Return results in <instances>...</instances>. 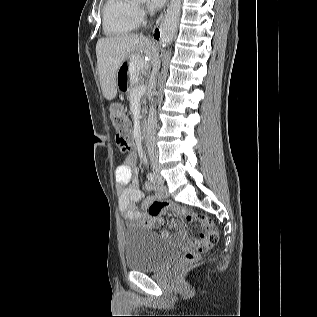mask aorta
<instances>
[{
  "instance_id": "1",
  "label": "aorta",
  "mask_w": 317,
  "mask_h": 317,
  "mask_svg": "<svg viewBox=\"0 0 317 317\" xmlns=\"http://www.w3.org/2000/svg\"><path fill=\"white\" fill-rule=\"evenodd\" d=\"M137 1H143V0H137ZM176 28V20L173 17H169L164 21V23L161 26V32L166 35H171Z\"/></svg>"
}]
</instances>
